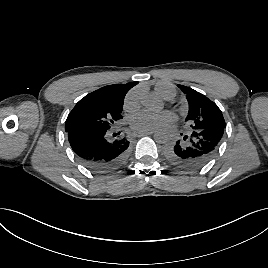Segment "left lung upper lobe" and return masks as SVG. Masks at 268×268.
Segmentation results:
<instances>
[{"mask_svg": "<svg viewBox=\"0 0 268 268\" xmlns=\"http://www.w3.org/2000/svg\"><path fill=\"white\" fill-rule=\"evenodd\" d=\"M178 87L186 94L189 111L186 123L191 131L225 128V121L218 106L205 95L183 85Z\"/></svg>", "mask_w": 268, "mask_h": 268, "instance_id": "left-lung-upper-lobe-1", "label": "left lung upper lobe"}]
</instances>
